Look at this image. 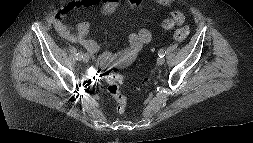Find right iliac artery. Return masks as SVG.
Wrapping results in <instances>:
<instances>
[{
    "mask_svg": "<svg viewBox=\"0 0 253 143\" xmlns=\"http://www.w3.org/2000/svg\"><path fill=\"white\" fill-rule=\"evenodd\" d=\"M82 58H83V54L81 52L76 54V59L77 60H82Z\"/></svg>",
    "mask_w": 253,
    "mask_h": 143,
    "instance_id": "obj_1",
    "label": "right iliac artery"
}]
</instances>
